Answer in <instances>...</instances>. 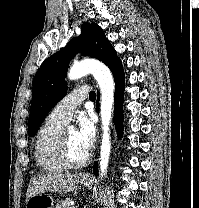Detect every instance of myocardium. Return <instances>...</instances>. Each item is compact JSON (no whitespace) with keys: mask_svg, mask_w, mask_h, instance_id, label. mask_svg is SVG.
I'll use <instances>...</instances> for the list:
<instances>
[{"mask_svg":"<svg viewBox=\"0 0 199 208\" xmlns=\"http://www.w3.org/2000/svg\"><path fill=\"white\" fill-rule=\"evenodd\" d=\"M57 155L61 164L68 169H77L83 167L89 162L91 158V153L88 152V154L79 161H74L71 159L68 151L67 131H63L60 135L57 144Z\"/></svg>","mask_w":199,"mask_h":208,"instance_id":"obj_1","label":"myocardium"}]
</instances>
